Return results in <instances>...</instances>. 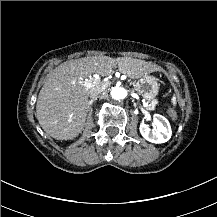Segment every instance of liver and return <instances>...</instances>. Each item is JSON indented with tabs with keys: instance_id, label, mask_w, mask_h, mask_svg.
<instances>
[{
	"instance_id": "6515ba94",
	"label": "liver",
	"mask_w": 217,
	"mask_h": 217,
	"mask_svg": "<svg viewBox=\"0 0 217 217\" xmlns=\"http://www.w3.org/2000/svg\"><path fill=\"white\" fill-rule=\"evenodd\" d=\"M114 66L130 79H140L163 70L152 62L131 57L92 56L60 65L46 75L38 94L35 117L43 131L57 140L77 137L86 122L92 86L88 77L93 74L108 76Z\"/></svg>"
}]
</instances>
